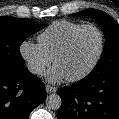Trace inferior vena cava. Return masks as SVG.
<instances>
[{"mask_svg": "<svg viewBox=\"0 0 119 119\" xmlns=\"http://www.w3.org/2000/svg\"><path fill=\"white\" fill-rule=\"evenodd\" d=\"M28 70L34 74H41L43 72L44 68L41 67L40 65H29Z\"/></svg>", "mask_w": 119, "mask_h": 119, "instance_id": "1", "label": "inferior vena cava"}]
</instances>
